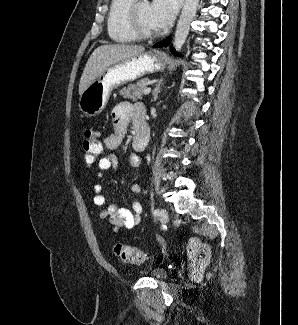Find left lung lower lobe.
<instances>
[{"mask_svg":"<svg viewBox=\"0 0 298 325\" xmlns=\"http://www.w3.org/2000/svg\"><path fill=\"white\" fill-rule=\"evenodd\" d=\"M170 42H171V38L169 37V38H167V39H165V40H163V41H161V42L155 44L154 47L157 48V47L167 46V45L170 44ZM171 52H172L173 54H175V55H179V54H176V53H175V50H174L173 48H171Z\"/></svg>","mask_w":298,"mask_h":325,"instance_id":"obj_1","label":"left lung lower lobe"}]
</instances>
